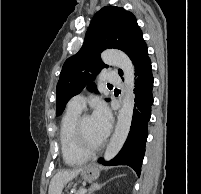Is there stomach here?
I'll return each instance as SVG.
<instances>
[{"mask_svg":"<svg viewBox=\"0 0 201 194\" xmlns=\"http://www.w3.org/2000/svg\"><path fill=\"white\" fill-rule=\"evenodd\" d=\"M81 177L85 181H94L99 177V169L94 164L85 166L81 172Z\"/></svg>","mask_w":201,"mask_h":194,"instance_id":"obj_1","label":"stomach"}]
</instances>
